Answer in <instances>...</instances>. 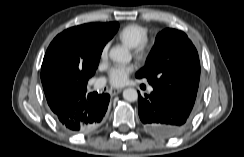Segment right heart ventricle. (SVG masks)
Segmentation results:
<instances>
[{"label":"right heart ventricle","mask_w":244,"mask_h":157,"mask_svg":"<svg viewBox=\"0 0 244 157\" xmlns=\"http://www.w3.org/2000/svg\"><path fill=\"white\" fill-rule=\"evenodd\" d=\"M118 37L121 41L127 44L130 47H135L148 37V30L146 27L131 23L124 26L119 34Z\"/></svg>","instance_id":"obj_1"}]
</instances>
